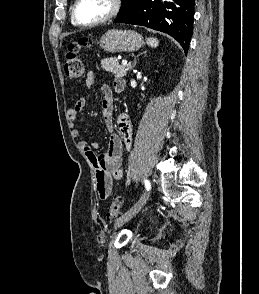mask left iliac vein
Returning <instances> with one entry per match:
<instances>
[{
  "label": "left iliac vein",
  "instance_id": "1",
  "mask_svg": "<svg viewBox=\"0 0 259 294\" xmlns=\"http://www.w3.org/2000/svg\"><path fill=\"white\" fill-rule=\"evenodd\" d=\"M151 190H147L141 198L138 200V202L132 206L129 210H127L124 214H122L114 223V229H117L124 225L126 222L131 220L145 205L147 202L149 196H150Z\"/></svg>",
  "mask_w": 259,
  "mask_h": 294
}]
</instances>
